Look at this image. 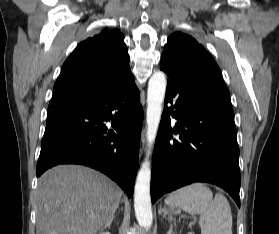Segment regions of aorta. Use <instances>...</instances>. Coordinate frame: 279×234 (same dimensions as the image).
I'll use <instances>...</instances> for the list:
<instances>
[{"label": "aorta", "instance_id": "762f6f07", "mask_svg": "<svg viewBox=\"0 0 279 234\" xmlns=\"http://www.w3.org/2000/svg\"><path fill=\"white\" fill-rule=\"evenodd\" d=\"M167 80L162 71L154 72L148 82L147 111H146V139L147 154L136 177L134 188V208L136 219L141 227L150 228L153 222L150 197L151 156L154 147L166 92Z\"/></svg>", "mask_w": 279, "mask_h": 234}]
</instances>
